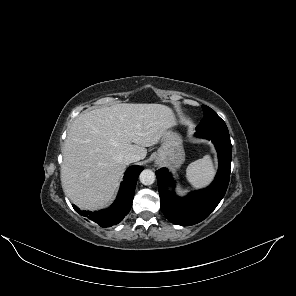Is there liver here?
I'll return each instance as SVG.
<instances>
[{
  "mask_svg": "<svg viewBox=\"0 0 296 296\" xmlns=\"http://www.w3.org/2000/svg\"><path fill=\"white\" fill-rule=\"evenodd\" d=\"M176 125L162 104L122 103L94 109L72 123L63 148L62 187L82 209H97L113 197L126 168L125 154L144 159L145 147L157 144Z\"/></svg>",
  "mask_w": 296,
  "mask_h": 296,
  "instance_id": "6515ba94",
  "label": "liver"
}]
</instances>
